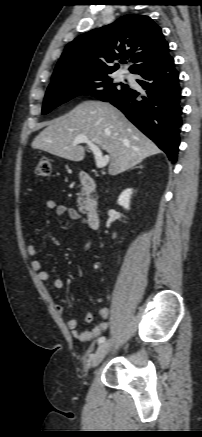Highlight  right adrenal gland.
<instances>
[{
  "label": "right adrenal gland",
  "instance_id": "1",
  "mask_svg": "<svg viewBox=\"0 0 202 437\" xmlns=\"http://www.w3.org/2000/svg\"><path fill=\"white\" fill-rule=\"evenodd\" d=\"M136 168H140V169H142L143 167L140 165V166H137Z\"/></svg>",
  "mask_w": 202,
  "mask_h": 437
}]
</instances>
